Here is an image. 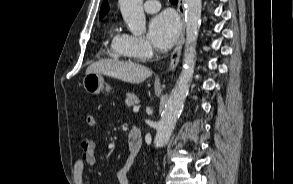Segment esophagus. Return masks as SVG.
Returning a JSON list of instances; mask_svg holds the SVG:
<instances>
[{"label":"esophagus","mask_w":293,"mask_h":184,"mask_svg":"<svg viewBox=\"0 0 293 184\" xmlns=\"http://www.w3.org/2000/svg\"><path fill=\"white\" fill-rule=\"evenodd\" d=\"M177 10L179 12L181 18V32L177 41V44L171 54L170 63H169V71H173L180 59L181 50L184 43V36H185V16H184V7H183V0H178Z\"/></svg>","instance_id":"34e87169"}]
</instances>
